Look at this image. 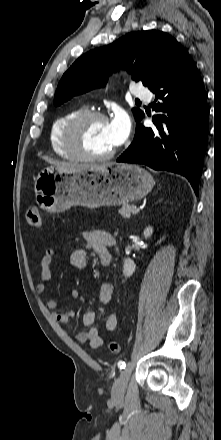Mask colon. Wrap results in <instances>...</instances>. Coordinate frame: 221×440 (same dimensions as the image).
Instances as JSON below:
<instances>
[{"label":"colon","instance_id":"1","mask_svg":"<svg viewBox=\"0 0 221 440\" xmlns=\"http://www.w3.org/2000/svg\"><path fill=\"white\" fill-rule=\"evenodd\" d=\"M26 217H27V221H28V224L30 225V227L35 228V229H40L42 227L43 221H42V216H41V213H40V210L38 207L31 206L27 210ZM108 349L110 352L117 354L121 351V346L116 341H110L108 343Z\"/></svg>","mask_w":221,"mask_h":440}]
</instances>
